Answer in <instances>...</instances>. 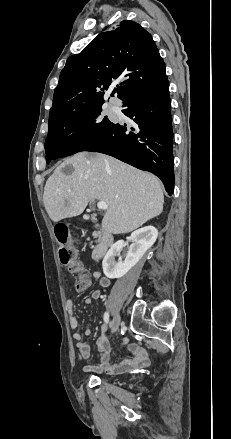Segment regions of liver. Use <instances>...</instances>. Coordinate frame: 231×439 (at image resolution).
I'll return each instance as SVG.
<instances>
[{
  "label": "liver",
  "mask_w": 231,
  "mask_h": 439,
  "mask_svg": "<svg viewBox=\"0 0 231 439\" xmlns=\"http://www.w3.org/2000/svg\"><path fill=\"white\" fill-rule=\"evenodd\" d=\"M90 199L108 205L102 228L112 234L134 231L161 214V181L118 159L80 152L59 165L48 178L43 203L50 219L59 222L83 213Z\"/></svg>",
  "instance_id": "6515ba94"
}]
</instances>
